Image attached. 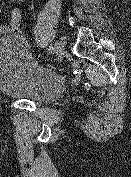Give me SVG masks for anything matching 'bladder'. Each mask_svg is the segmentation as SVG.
Instances as JSON below:
<instances>
[{
    "label": "bladder",
    "instance_id": "obj_1",
    "mask_svg": "<svg viewBox=\"0 0 131 177\" xmlns=\"http://www.w3.org/2000/svg\"><path fill=\"white\" fill-rule=\"evenodd\" d=\"M65 80L38 63L16 37L0 40V93L32 102H49L64 92Z\"/></svg>",
    "mask_w": 131,
    "mask_h": 177
}]
</instances>
